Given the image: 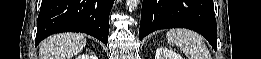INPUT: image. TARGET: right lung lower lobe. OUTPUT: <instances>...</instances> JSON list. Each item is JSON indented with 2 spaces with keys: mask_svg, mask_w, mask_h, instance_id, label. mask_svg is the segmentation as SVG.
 <instances>
[{
  "mask_svg": "<svg viewBox=\"0 0 261 59\" xmlns=\"http://www.w3.org/2000/svg\"><path fill=\"white\" fill-rule=\"evenodd\" d=\"M114 0H42L35 46L51 34L84 32L107 45Z\"/></svg>",
  "mask_w": 261,
  "mask_h": 59,
  "instance_id": "right-lung-lower-lobe-1",
  "label": "right lung lower lobe"
}]
</instances>
